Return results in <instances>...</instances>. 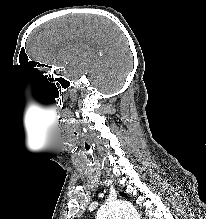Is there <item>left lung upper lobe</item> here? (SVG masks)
Here are the masks:
<instances>
[{
    "instance_id": "5c2ea615",
    "label": "left lung upper lobe",
    "mask_w": 206,
    "mask_h": 219,
    "mask_svg": "<svg viewBox=\"0 0 206 219\" xmlns=\"http://www.w3.org/2000/svg\"><path fill=\"white\" fill-rule=\"evenodd\" d=\"M120 195L123 197H127V195L125 193L120 192Z\"/></svg>"
}]
</instances>
